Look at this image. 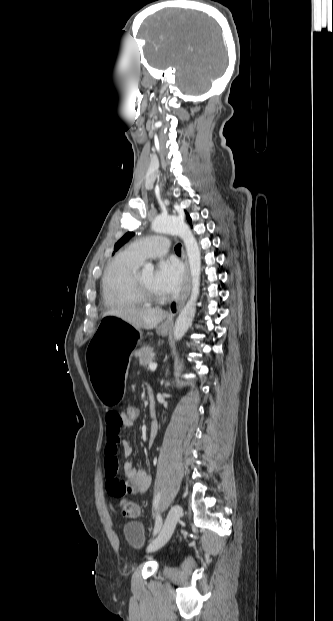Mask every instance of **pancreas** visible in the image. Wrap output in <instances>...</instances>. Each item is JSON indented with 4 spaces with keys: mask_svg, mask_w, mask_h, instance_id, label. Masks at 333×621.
<instances>
[{
    "mask_svg": "<svg viewBox=\"0 0 333 621\" xmlns=\"http://www.w3.org/2000/svg\"><path fill=\"white\" fill-rule=\"evenodd\" d=\"M134 355L139 358V362L142 366H146L147 364L153 362L155 356L153 348L150 346H143L142 348L136 350Z\"/></svg>",
    "mask_w": 333,
    "mask_h": 621,
    "instance_id": "1",
    "label": "pancreas"
}]
</instances>
